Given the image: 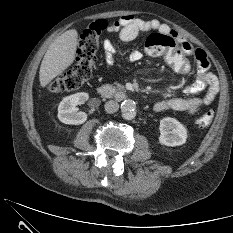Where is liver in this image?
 Masks as SVG:
<instances>
[{
  "label": "liver",
  "instance_id": "obj_1",
  "mask_svg": "<svg viewBox=\"0 0 233 233\" xmlns=\"http://www.w3.org/2000/svg\"><path fill=\"white\" fill-rule=\"evenodd\" d=\"M77 40V31L71 29L56 38L49 46L39 71L41 87H46L56 76L71 66L76 56Z\"/></svg>",
  "mask_w": 233,
  "mask_h": 233
}]
</instances>
